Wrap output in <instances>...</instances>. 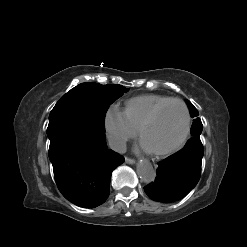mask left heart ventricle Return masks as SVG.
Wrapping results in <instances>:
<instances>
[{
	"mask_svg": "<svg viewBox=\"0 0 247 247\" xmlns=\"http://www.w3.org/2000/svg\"><path fill=\"white\" fill-rule=\"evenodd\" d=\"M185 127V113L182 106L172 103L166 106L154 123L142 134V142L150 151H159L174 145Z\"/></svg>",
	"mask_w": 247,
	"mask_h": 247,
	"instance_id": "obj_1",
	"label": "left heart ventricle"
}]
</instances>
